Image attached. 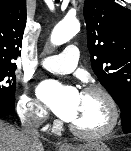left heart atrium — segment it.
Listing matches in <instances>:
<instances>
[{"mask_svg": "<svg viewBox=\"0 0 131 151\" xmlns=\"http://www.w3.org/2000/svg\"><path fill=\"white\" fill-rule=\"evenodd\" d=\"M37 93L61 119L71 122L76 114L81 94L74 87H65L54 81L42 82Z\"/></svg>", "mask_w": 131, "mask_h": 151, "instance_id": "39dd6f15", "label": "left heart atrium"}]
</instances>
